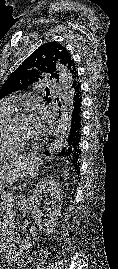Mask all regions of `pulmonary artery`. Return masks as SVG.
Listing matches in <instances>:
<instances>
[{
	"label": "pulmonary artery",
	"instance_id": "pulmonary-artery-1",
	"mask_svg": "<svg viewBox=\"0 0 118 269\" xmlns=\"http://www.w3.org/2000/svg\"><path fill=\"white\" fill-rule=\"evenodd\" d=\"M46 85L49 87V88H57L58 87V84L54 83L53 81H47L46 82ZM0 104L1 105H4V106H7L10 108V98L9 99H5L3 101H0Z\"/></svg>",
	"mask_w": 118,
	"mask_h": 269
}]
</instances>
